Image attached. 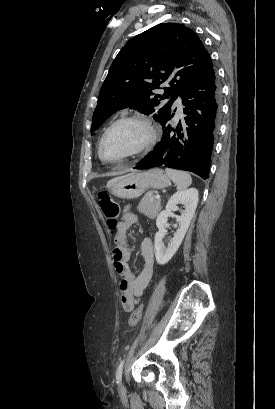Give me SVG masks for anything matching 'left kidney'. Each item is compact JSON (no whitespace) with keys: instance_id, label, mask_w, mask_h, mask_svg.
<instances>
[{"instance_id":"left-kidney-1","label":"left kidney","mask_w":275,"mask_h":409,"mask_svg":"<svg viewBox=\"0 0 275 409\" xmlns=\"http://www.w3.org/2000/svg\"><path fill=\"white\" fill-rule=\"evenodd\" d=\"M198 202V190L197 188H188V190H178L175 194H172L167 202L166 211L159 213L156 221V225L159 229L155 235V257L158 265H166L176 251H178L191 223V219L196 211ZM177 205H184V211H181V217H178L176 221L179 223V229L174 233L173 239H171L168 247H164L162 239L166 235L165 225L168 221V217L173 215L172 211L176 209Z\"/></svg>"}]
</instances>
